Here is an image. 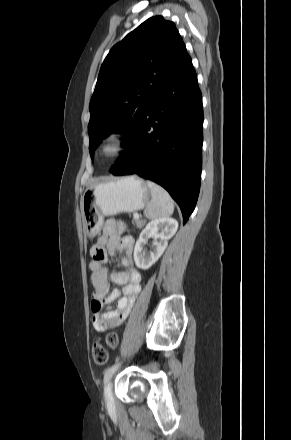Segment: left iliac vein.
Masks as SVG:
<instances>
[{"label": "left iliac vein", "instance_id": "1", "mask_svg": "<svg viewBox=\"0 0 291 440\" xmlns=\"http://www.w3.org/2000/svg\"><path fill=\"white\" fill-rule=\"evenodd\" d=\"M105 399L107 403H110L112 401V383L109 381L105 387L104 390Z\"/></svg>", "mask_w": 291, "mask_h": 440}]
</instances>
